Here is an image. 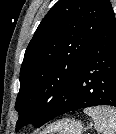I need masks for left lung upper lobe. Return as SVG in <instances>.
Returning <instances> with one entry per match:
<instances>
[{
	"label": "left lung upper lobe",
	"instance_id": "5c2ea615",
	"mask_svg": "<svg viewBox=\"0 0 116 134\" xmlns=\"http://www.w3.org/2000/svg\"><path fill=\"white\" fill-rule=\"evenodd\" d=\"M112 11L109 0H59L50 9L25 51L16 131L47 123L71 97L81 64Z\"/></svg>",
	"mask_w": 116,
	"mask_h": 134
}]
</instances>
